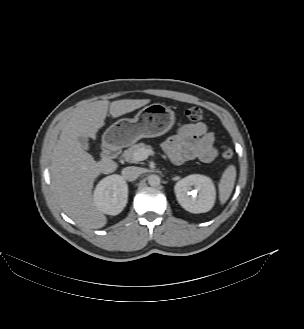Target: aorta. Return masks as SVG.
<instances>
[{
    "label": "aorta",
    "mask_w": 304,
    "mask_h": 329,
    "mask_svg": "<svg viewBox=\"0 0 304 329\" xmlns=\"http://www.w3.org/2000/svg\"><path fill=\"white\" fill-rule=\"evenodd\" d=\"M148 183L150 186L156 187L160 185V177L158 175H150L148 177Z\"/></svg>",
    "instance_id": "1"
}]
</instances>
